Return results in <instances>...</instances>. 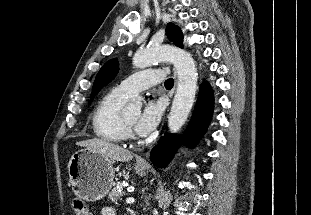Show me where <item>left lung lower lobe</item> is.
<instances>
[{
	"label": "left lung lower lobe",
	"mask_w": 311,
	"mask_h": 215,
	"mask_svg": "<svg viewBox=\"0 0 311 215\" xmlns=\"http://www.w3.org/2000/svg\"><path fill=\"white\" fill-rule=\"evenodd\" d=\"M213 93L207 82H204L199 91V97L193 113L192 120L188 126L183 139L190 145H195L205 132L206 127L212 117L213 112ZM178 138L174 135L166 134L156 148L151 150V161L157 167H165L172 158Z\"/></svg>",
	"instance_id": "obj_1"
}]
</instances>
